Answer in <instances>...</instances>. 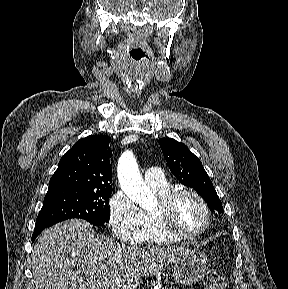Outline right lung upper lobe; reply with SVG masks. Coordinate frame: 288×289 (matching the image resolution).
I'll list each match as a JSON object with an SVG mask.
<instances>
[{
	"label": "right lung upper lobe",
	"mask_w": 288,
	"mask_h": 289,
	"mask_svg": "<svg viewBox=\"0 0 288 289\" xmlns=\"http://www.w3.org/2000/svg\"><path fill=\"white\" fill-rule=\"evenodd\" d=\"M111 138L92 135L76 142L59 162L49 182V190H97L112 188Z\"/></svg>",
	"instance_id": "right-lung-upper-lobe-1"
}]
</instances>
